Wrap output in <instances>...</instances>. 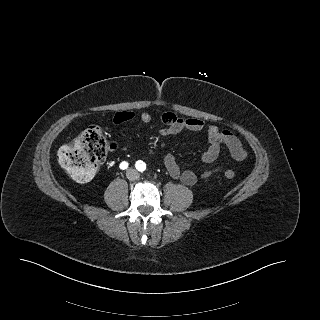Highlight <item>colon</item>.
Here are the masks:
<instances>
[{
    "label": "colon",
    "mask_w": 320,
    "mask_h": 320,
    "mask_svg": "<svg viewBox=\"0 0 320 320\" xmlns=\"http://www.w3.org/2000/svg\"><path fill=\"white\" fill-rule=\"evenodd\" d=\"M109 148L104 132L99 126L87 127L71 143L58 151V161L66 172L77 182L90 181L99 164H101ZM223 176L232 180L235 172L227 169Z\"/></svg>",
    "instance_id": "1"
}]
</instances>
